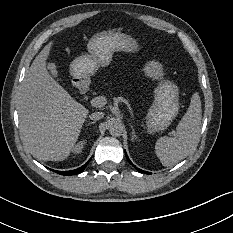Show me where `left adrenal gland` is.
<instances>
[{"label":"left adrenal gland","instance_id":"obj_1","mask_svg":"<svg viewBox=\"0 0 233 233\" xmlns=\"http://www.w3.org/2000/svg\"><path fill=\"white\" fill-rule=\"evenodd\" d=\"M131 129H132V138H131V140L133 141L134 139L137 138V136H136V134H135V130H134V128H133L132 125H131Z\"/></svg>","mask_w":233,"mask_h":233}]
</instances>
